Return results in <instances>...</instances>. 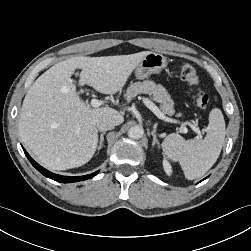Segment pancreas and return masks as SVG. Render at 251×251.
Here are the masks:
<instances>
[{"label":"pancreas","mask_w":251,"mask_h":251,"mask_svg":"<svg viewBox=\"0 0 251 251\" xmlns=\"http://www.w3.org/2000/svg\"><path fill=\"white\" fill-rule=\"evenodd\" d=\"M138 94H148L152 96L160 103V108L163 114H167L169 116L174 114V102L163 86L157 85L155 82L149 80L135 82L127 88L125 98L129 101Z\"/></svg>","instance_id":"1"}]
</instances>
